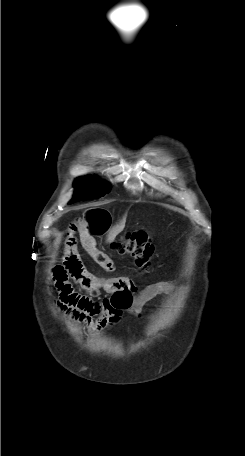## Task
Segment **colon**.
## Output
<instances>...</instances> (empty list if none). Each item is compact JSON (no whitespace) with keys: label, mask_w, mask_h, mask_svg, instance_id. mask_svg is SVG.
I'll return each instance as SVG.
<instances>
[{"label":"colon","mask_w":245,"mask_h":456,"mask_svg":"<svg viewBox=\"0 0 245 456\" xmlns=\"http://www.w3.org/2000/svg\"><path fill=\"white\" fill-rule=\"evenodd\" d=\"M113 249L121 254L130 256L135 265L143 270L149 268L154 255V247L143 231H134L120 242L113 244Z\"/></svg>","instance_id":"colon-1"}]
</instances>
